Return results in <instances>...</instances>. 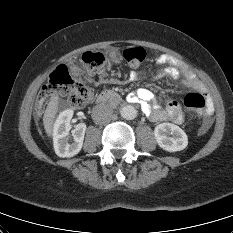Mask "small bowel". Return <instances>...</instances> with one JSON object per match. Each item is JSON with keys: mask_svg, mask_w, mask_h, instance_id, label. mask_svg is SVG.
Listing matches in <instances>:
<instances>
[{"mask_svg": "<svg viewBox=\"0 0 233 233\" xmlns=\"http://www.w3.org/2000/svg\"><path fill=\"white\" fill-rule=\"evenodd\" d=\"M157 65L167 66L156 74V78L170 77L181 80L186 86L206 94V88L202 82L188 69L182 67L173 57L162 54L156 59ZM138 77L136 71L130 73V79L135 80ZM153 93L145 88H140L136 92L128 96V101L133 104H138L146 116L153 121H171L177 124L185 120V114L178 101H171L166 107H160L152 104ZM213 112V105L210 101L207 102L204 114L209 116ZM210 127V120L205 119L201 126V131L204 132Z\"/></svg>", "mask_w": 233, "mask_h": 233, "instance_id": "obj_1", "label": "small bowel"}]
</instances>
